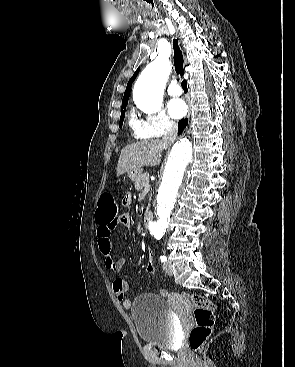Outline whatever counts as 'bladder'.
I'll list each match as a JSON object with an SVG mask.
<instances>
[{
	"instance_id": "bladder-1",
	"label": "bladder",
	"mask_w": 295,
	"mask_h": 367,
	"mask_svg": "<svg viewBox=\"0 0 295 367\" xmlns=\"http://www.w3.org/2000/svg\"><path fill=\"white\" fill-rule=\"evenodd\" d=\"M131 317L142 342L173 348L179 334L169 303L162 296L145 293L131 305Z\"/></svg>"
}]
</instances>
